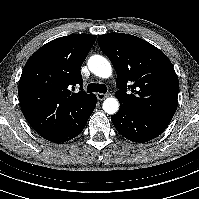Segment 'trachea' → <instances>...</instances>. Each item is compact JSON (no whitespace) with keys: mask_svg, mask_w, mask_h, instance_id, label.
I'll use <instances>...</instances> for the list:
<instances>
[{"mask_svg":"<svg viewBox=\"0 0 199 199\" xmlns=\"http://www.w3.org/2000/svg\"><path fill=\"white\" fill-rule=\"evenodd\" d=\"M87 92H99L105 94L107 92V87L104 84H99V83H90L87 86Z\"/></svg>","mask_w":199,"mask_h":199,"instance_id":"trachea-1","label":"trachea"}]
</instances>
